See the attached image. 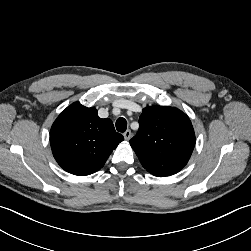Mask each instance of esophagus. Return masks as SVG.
I'll list each match as a JSON object with an SVG mask.
<instances>
[{"instance_id":"esophagus-1","label":"esophagus","mask_w":251,"mask_h":251,"mask_svg":"<svg viewBox=\"0 0 251 251\" xmlns=\"http://www.w3.org/2000/svg\"><path fill=\"white\" fill-rule=\"evenodd\" d=\"M123 135H124L125 140H129L132 136V133L130 130H126Z\"/></svg>"}]
</instances>
